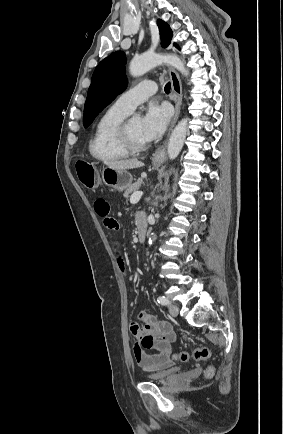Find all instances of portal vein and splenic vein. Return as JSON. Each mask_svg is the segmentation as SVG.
<instances>
[{
	"mask_svg": "<svg viewBox=\"0 0 283 434\" xmlns=\"http://www.w3.org/2000/svg\"><path fill=\"white\" fill-rule=\"evenodd\" d=\"M142 195H143V192H141V191L133 193L131 195V198H130V203L131 204L138 203V201L140 200V198L142 197Z\"/></svg>",
	"mask_w": 283,
	"mask_h": 434,
	"instance_id": "18ae733b",
	"label": "portal vein and splenic vein"
}]
</instances>
